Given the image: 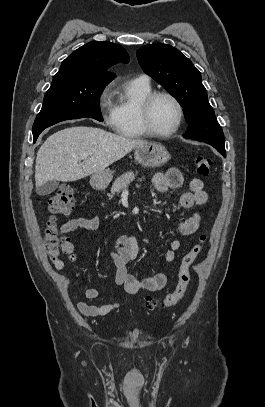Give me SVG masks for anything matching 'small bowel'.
Instances as JSON below:
<instances>
[{
  "instance_id": "obj_1",
  "label": "small bowel",
  "mask_w": 265,
  "mask_h": 407,
  "mask_svg": "<svg viewBox=\"0 0 265 407\" xmlns=\"http://www.w3.org/2000/svg\"><path fill=\"white\" fill-rule=\"evenodd\" d=\"M153 184L158 192L164 193L169 189L180 188L183 185V176L176 168H171L165 173H157L153 178ZM208 201V194L204 190V182L199 178H194L189 182L188 190L184 192L180 199V204L185 209H191L197 205H205ZM201 222L199 212H193L189 217L183 219L178 224V233L182 236L194 234ZM100 227L99 217H77L68 220L61 226V234H67L78 229L95 231ZM181 241L174 239L170 242L169 249L163 257L164 263H172L175 260L176 251L181 248ZM116 266L115 282L118 289H121L127 296L134 295L143 291H158L165 287L167 276L164 273H156L143 280H137L128 269V263L138 256V243L134 236L120 235L115 242L114 251L111 254ZM57 270L64 268L62 260L53 263ZM76 277H80L75 272ZM100 297V291L94 287H86L83 293V299L77 302L79 312L86 317L105 316L111 312L124 307L127 299L119 302L93 304L87 301L97 300Z\"/></svg>"
}]
</instances>
